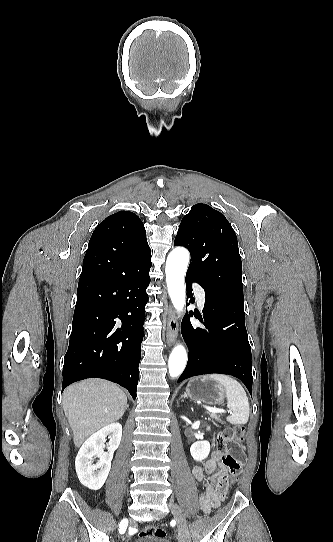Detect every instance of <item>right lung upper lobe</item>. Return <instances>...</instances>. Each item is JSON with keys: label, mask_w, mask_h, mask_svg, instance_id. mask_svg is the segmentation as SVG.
<instances>
[{"label": "right lung upper lobe", "mask_w": 333, "mask_h": 542, "mask_svg": "<svg viewBox=\"0 0 333 542\" xmlns=\"http://www.w3.org/2000/svg\"><path fill=\"white\" fill-rule=\"evenodd\" d=\"M148 247L146 232L139 217L130 211H119L107 217L94 230L87 251H114L122 248ZM87 271L80 278L92 276Z\"/></svg>", "instance_id": "obj_1"}]
</instances>
